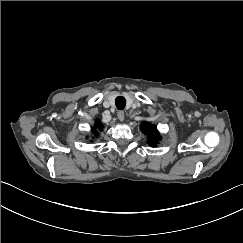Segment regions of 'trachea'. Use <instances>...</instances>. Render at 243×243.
<instances>
[{
  "label": "trachea",
  "instance_id": "3493384b",
  "mask_svg": "<svg viewBox=\"0 0 243 243\" xmlns=\"http://www.w3.org/2000/svg\"><path fill=\"white\" fill-rule=\"evenodd\" d=\"M115 105L117 107L118 110H122L125 108L126 106V100L123 96H118L116 99H115Z\"/></svg>",
  "mask_w": 243,
  "mask_h": 243
}]
</instances>
